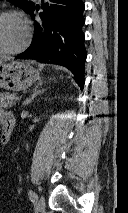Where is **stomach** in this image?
<instances>
[{"label":"stomach","instance_id":"stomach-1","mask_svg":"<svg viewBox=\"0 0 128 213\" xmlns=\"http://www.w3.org/2000/svg\"><path fill=\"white\" fill-rule=\"evenodd\" d=\"M39 79V72L27 62L0 63V88L24 90Z\"/></svg>","mask_w":128,"mask_h":213}]
</instances>
